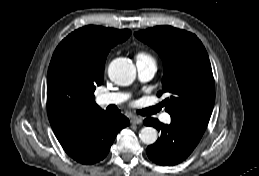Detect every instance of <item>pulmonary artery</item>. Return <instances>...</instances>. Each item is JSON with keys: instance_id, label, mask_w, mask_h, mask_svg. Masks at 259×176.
Masks as SVG:
<instances>
[{"instance_id": "pulmonary-artery-1", "label": "pulmonary artery", "mask_w": 259, "mask_h": 176, "mask_svg": "<svg viewBox=\"0 0 259 176\" xmlns=\"http://www.w3.org/2000/svg\"><path fill=\"white\" fill-rule=\"evenodd\" d=\"M138 77L140 81L147 82L154 76L157 65L152 58L137 60L136 62ZM129 95L126 93H104L97 97V102L100 105H116L121 104L128 99ZM161 121L168 124L171 121V116L165 113L161 117Z\"/></svg>"}]
</instances>
